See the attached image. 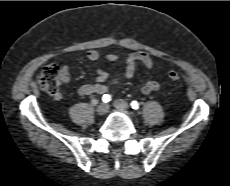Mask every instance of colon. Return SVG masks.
<instances>
[{"mask_svg": "<svg viewBox=\"0 0 230 186\" xmlns=\"http://www.w3.org/2000/svg\"><path fill=\"white\" fill-rule=\"evenodd\" d=\"M167 75L173 81H178L181 77L175 70L168 71ZM38 83L43 91L52 95L57 94L61 85L59 68L52 63L45 64L38 75Z\"/></svg>", "mask_w": 230, "mask_h": 186, "instance_id": "5ec220e1", "label": "colon"}]
</instances>
